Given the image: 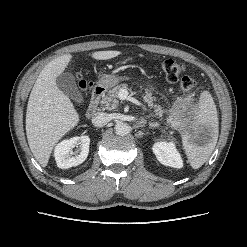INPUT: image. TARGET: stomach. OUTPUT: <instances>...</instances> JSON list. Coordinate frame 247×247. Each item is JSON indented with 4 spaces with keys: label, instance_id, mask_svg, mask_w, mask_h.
<instances>
[{
    "label": "stomach",
    "instance_id": "0dacf381",
    "mask_svg": "<svg viewBox=\"0 0 247 247\" xmlns=\"http://www.w3.org/2000/svg\"><path fill=\"white\" fill-rule=\"evenodd\" d=\"M120 78L114 75H103L98 83L104 88H110L119 83ZM195 117H181L175 113L170 116V123L179 128L183 134H192Z\"/></svg>",
    "mask_w": 247,
    "mask_h": 247
}]
</instances>
